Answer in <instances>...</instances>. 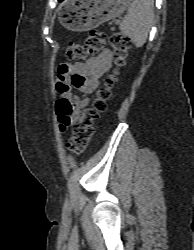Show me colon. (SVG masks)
Instances as JSON below:
<instances>
[{
    "mask_svg": "<svg viewBox=\"0 0 194 250\" xmlns=\"http://www.w3.org/2000/svg\"><path fill=\"white\" fill-rule=\"evenodd\" d=\"M107 42H109L113 48L116 68L114 73L109 75L105 79L104 84L96 91L90 106L83 111L73 128L72 136L67 143V148L74 154H79L86 149L94 132V122L98 119L99 115L107 109V101L110 98L111 89L116 81V74L125 64L131 41L127 35L121 32H116L107 37L103 32L90 31L84 42H70L65 48L66 57L85 60L103 49Z\"/></svg>",
    "mask_w": 194,
    "mask_h": 250,
    "instance_id": "obj_1",
    "label": "colon"
}]
</instances>
